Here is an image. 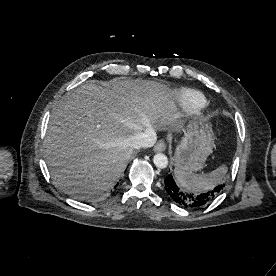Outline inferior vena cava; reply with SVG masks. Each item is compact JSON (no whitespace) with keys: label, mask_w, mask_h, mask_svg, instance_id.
<instances>
[{"label":"inferior vena cava","mask_w":276,"mask_h":276,"mask_svg":"<svg viewBox=\"0 0 276 276\" xmlns=\"http://www.w3.org/2000/svg\"><path fill=\"white\" fill-rule=\"evenodd\" d=\"M157 140L156 132L153 129L146 130L132 136L129 139L130 146L134 149L149 148L152 147Z\"/></svg>","instance_id":"1"}]
</instances>
